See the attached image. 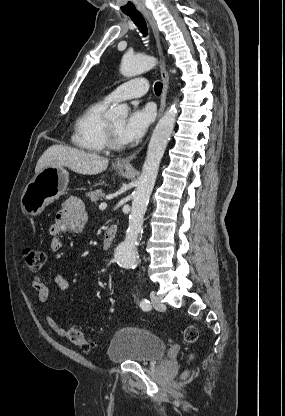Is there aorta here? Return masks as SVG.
Masks as SVG:
<instances>
[{"label": "aorta", "mask_w": 285, "mask_h": 416, "mask_svg": "<svg viewBox=\"0 0 285 416\" xmlns=\"http://www.w3.org/2000/svg\"><path fill=\"white\" fill-rule=\"evenodd\" d=\"M156 63L155 58L147 55L124 56L120 72L125 77H133L152 69ZM127 115L128 107L116 104L107 113L110 120L125 119ZM176 116L177 109L176 102H174L163 114L153 131L142 173L132 196V207L126 236L115 251V258L121 267L135 269L138 266L139 256L136 247L142 233L144 214L154 188L161 159L174 129Z\"/></svg>", "instance_id": "1"}]
</instances>
